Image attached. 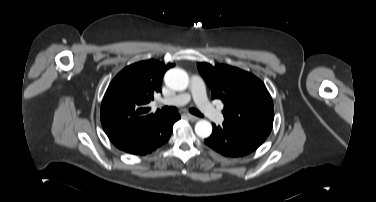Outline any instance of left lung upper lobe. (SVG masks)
I'll use <instances>...</instances> for the list:
<instances>
[{"label":"left lung upper lobe","instance_id":"1","mask_svg":"<svg viewBox=\"0 0 376 202\" xmlns=\"http://www.w3.org/2000/svg\"><path fill=\"white\" fill-rule=\"evenodd\" d=\"M198 69L212 90V98L224 103V121L269 135L274 108L265 85L253 74L228 65L198 63Z\"/></svg>","mask_w":376,"mask_h":202}]
</instances>
